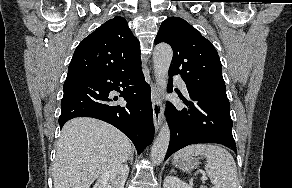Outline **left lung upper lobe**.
Listing matches in <instances>:
<instances>
[{
	"label": "left lung upper lobe",
	"instance_id": "1",
	"mask_svg": "<svg viewBox=\"0 0 292 188\" xmlns=\"http://www.w3.org/2000/svg\"><path fill=\"white\" fill-rule=\"evenodd\" d=\"M160 42L173 49L169 75L180 74L193 91L227 98L218 53L199 31L182 18L169 17L155 38L156 44Z\"/></svg>",
	"mask_w": 292,
	"mask_h": 188
}]
</instances>
